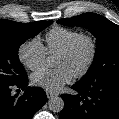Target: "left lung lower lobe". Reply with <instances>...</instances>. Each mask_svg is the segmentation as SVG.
Instances as JSON below:
<instances>
[{
	"mask_svg": "<svg viewBox=\"0 0 119 119\" xmlns=\"http://www.w3.org/2000/svg\"><path fill=\"white\" fill-rule=\"evenodd\" d=\"M77 95L62 94L60 119H119V80L76 83Z\"/></svg>",
	"mask_w": 119,
	"mask_h": 119,
	"instance_id": "0a47b994",
	"label": "left lung lower lobe"
}]
</instances>
